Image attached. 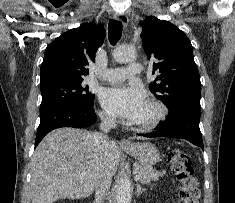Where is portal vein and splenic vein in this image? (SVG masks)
<instances>
[{"label": "portal vein and splenic vein", "mask_w": 235, "mask_h": 203, "mask_svg": "<svg viewBox=\"0 0 235 203\" xmlns=\"http://www.w3.org/2000/svg\"><path fill=\"white\" fill-rule=\"evenodd\" d=\"M79 176H81V177H82V176H83V174H79ZM139 178H140V176H139L138 174H137V175H135V177H134V179H135V180H139Z\"/></svg>", "instance_id": "obj_1"}]
</instances>
